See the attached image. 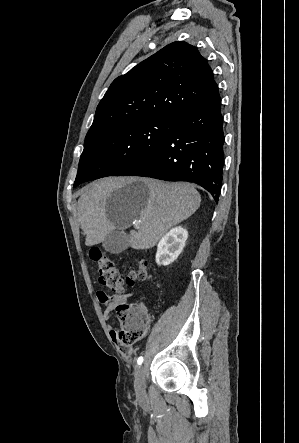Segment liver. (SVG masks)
<instances>
[{
    "label": "liver",
    "instance_id": "1",
    "mask_svg": "<svg viewBox=\"0 0 299 443\" xmlns=\"http://www.w3.org/2000/svg\"><path fill=\"white\" fill-rule=\"evenodd\" d=\"M200 203L199 192L186 183L107 177L84 187L77 216L86 246L99 244L109 233L139 220V228L130 231L128 245L143 250L154 247L169 229L193 215Z\"/></svg>",
    "mask_w": 299,
    "mask_h": 443
}]
</instances>
